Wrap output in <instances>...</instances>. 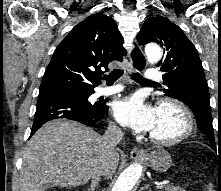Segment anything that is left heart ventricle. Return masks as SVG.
<instances>
[{
  "label": "left heart ventricle",
  "instance_id": "1",
  "mask_svg": "<svg viewBox=\"0 0 221 191\" xmlns=\"http://www.w3.org/2000/svg\"><path fill=\"white\" fill-rule=\"evenodd\" d=\"M183 126L181 114L171 107L158 110L157 122L152 134L160 137H171L180 132Z\"/></svg>",
  "mask_w": 221,
  "mask_h": 191
}]
</instances>
